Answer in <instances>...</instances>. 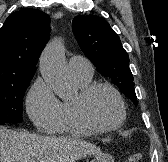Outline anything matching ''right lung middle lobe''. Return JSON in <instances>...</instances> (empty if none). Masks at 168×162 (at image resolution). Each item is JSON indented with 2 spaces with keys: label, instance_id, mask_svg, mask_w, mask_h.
Wrapping results in <instances>:
<instances>
[{
  "label": "right lung middle lobe",
  "instance_id": "1",
  "mask_svg": "<svg viewBox=\"0 0 168 162\" xmlns=\"http://www.w3.org/2000/svg\"><path fill=\"white\" fill-rule=\"evenodd\" d=\"M33 76L0 82V125L22 121V100Z\"/></svg>",
  "mask_w": 168,
  "mask_h": 162
}]
</instances>
